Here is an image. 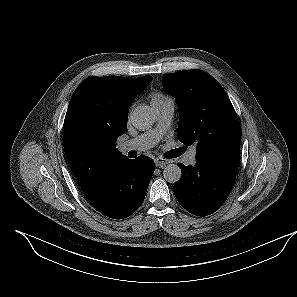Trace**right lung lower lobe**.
<instances>
[{
	"mask_svg": "<svg viewBox=\"0 0 297 297\" xmlns=\"http://www.w3.org/2000/svg\"><path fill=\"white\" fill-rule=\"evenodd\" d=\"M154 170L153 160L146 156L124 157L112 165L89 200L107 217L126 218L142 204Z\"/></svg>",
	"mask_w": 297,
	"mask_h": 297,
	"instance_id": "98d812e1",
	"label": "right lung lower lobe"
}]
</instances>
